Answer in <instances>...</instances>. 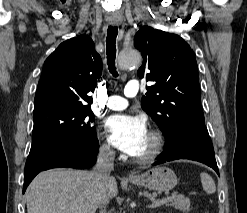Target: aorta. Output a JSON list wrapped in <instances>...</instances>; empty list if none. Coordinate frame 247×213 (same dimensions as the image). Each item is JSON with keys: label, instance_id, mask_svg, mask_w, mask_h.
<instances>
[{"label": "aorta", "instance_id": "762f6f07", "mask_svg": "<svg viewBox=\"0 0 247 213\" xmlns=\"http://www.w3.org/2000/svg\"><path fill=\"white\" fill-rule=\"evenodd\" d=\"M141 62V56L136 50H123L119 54L118 63L122 70L136 67Z\"/></svg>", "mask_w": 247, "mask_h": 213}]
</instances>
